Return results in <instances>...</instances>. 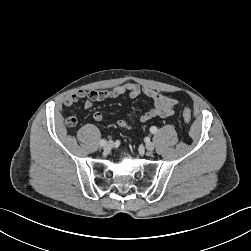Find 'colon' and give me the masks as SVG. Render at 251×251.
<instances>
[{
  "label": "colon",
  "mask_w": 251,
  "mask_h": 251,
  "mask_svg": "<svg viewBox=\"0 0 251 251\" xmlns=\"http://www.w3.org/2000/svg\"><path fill=\"white\" fill-rule=\"evenodd\" d=\"M182 116H183V119L189 123L192 119V114H191V110L189 108H184L183 109V112H182ZM77 122V119L74 115H71L70 117H68L66 119V124L68 126H74Z\"/></svg>",
  "instance_id": "1"
}]
</instances>
